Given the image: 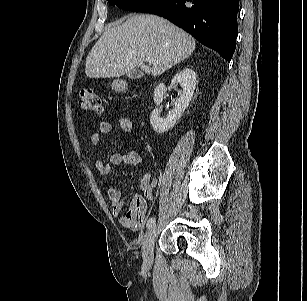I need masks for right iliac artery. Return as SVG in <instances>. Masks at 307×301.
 <instances>
[{
  "label": "right iliac artery",
  "instance_id": "obj_1",
  "mask_svg": "<svg viewBox=\"0 0 307 301\" xmlns=\"http://www.w3.org/2000/svg\"><path fill=\"white\" fill-rule=\"evenodd\" d=\"M154 224H155V218L154 217L149 218L147 222V229H150Z\"/></svg>",
  "mask_w": 307,
  "mask_h": 301
}]
</instances>
